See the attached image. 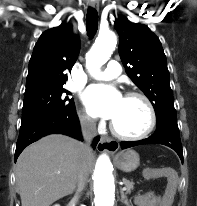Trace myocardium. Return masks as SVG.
<instances>
[{
  "label": "myocardium",
  "instance_id": "obj_1",
  "mask_svg": "<svg viewBox=\"0 0 197 206\" xmlns=\"http://www.w3.org/2000/svg\"><path fill=\"white\" fill-rule=\"evenodd\" d=\"M124 98H138L142 100L147 107L148 113H149V122L147 128L138 134H126L121 131H119L116 126L114 125L113 121L110 123V130L111 132L120 139H126V140H140L152 133L156 126L157 122V116L156 111L154 108V105L152 101L143 93L137 92V91H129L125 94Z\"/></svg>",
  "mask_w": 197,
  "mask_h": 206
}]
</instances>
